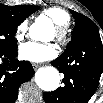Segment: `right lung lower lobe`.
Segmentation results:
<instances>
[{"label": "right lung lower lobe", "mask_w": 103, "mask_h": 103, "mask_svg": "<svg viewBox=\"0 0 103 103\" xmlns=\"http://www.w3.org/2000/svg\"><path fill=\"white\" fill-rule=\"evenodd\" d=\"M17 51L1 54L0 59L10 64H0V103H14L18 97L19 86L30 80L34 75V69L28 61L15 59ZM9 60V61H8Z\"/></svg>", "instance_id": "98d812e1"}]
</instances>
